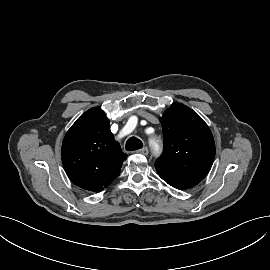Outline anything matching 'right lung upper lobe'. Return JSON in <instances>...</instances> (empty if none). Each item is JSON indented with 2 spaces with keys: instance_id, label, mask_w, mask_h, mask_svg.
Returning <instances> with one entry per match:
<instances>
[{
  "instance_id": "cb5924a9",
  "label": "right lung upper lobe",
  "mask_w": 270,
  "mask_h": 270,
  "mask_svg": "<svg viewBox=\"0 0 270 270\" xmlns=\"http://www.w3.org/2000/svg\"><path fill=\"white\" fill-rule=\"evenodd\" d=\"M61 157L72 183L100 192L119 175L127 155L114 140L105 113L94 107L81 115L66 133Z\"/></svg>"
}]
</instances>
